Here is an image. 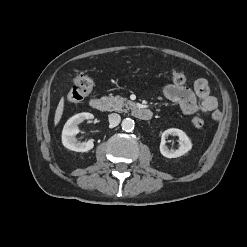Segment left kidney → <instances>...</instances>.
<instances>
[{
	"label": "left kidney",
	"instance_id": "5707ae66",
	"mask_svg": "<svg viewBox=\"0 0 247 247\" xmlns=\"http://www.w3.org/2000/svg\"><path fill=\"white\" fill-rule=\"evenodd\" d=\"M169 135L179 137V145L180 146L178 147V149H176V150L168 149V147L165 145L166 144L165 139ZM191 148H192L191 140L186 135V133L183 132L182 130L176 129V128H170V129L165 130L162 133L161 143H160V152L164 157L177 158V157H180V156L184 155L185 153H187L189 150H191Z\"/></svg>",
	"mask_w": 247,
	"mask_h": 247
}]
</instances>
